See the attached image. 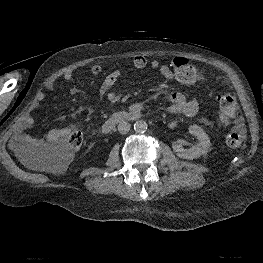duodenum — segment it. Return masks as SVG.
<instances>
[{"instance_id":"obj_1","label":"duodenum","mask_w":263,"mask_h":263,"mask_svg":"<svg viewBox=\"0 0 263 263\" xmlns=\"http://www.w3.org/2000/svg\"><path fill=\"white\" fill-rule=\"evenodd\" d=\"M145 107L142 104H132L126 109L113 113L102 125V131L107 133L118 123L139 119Z\"/></svg>"}]
</instances>
